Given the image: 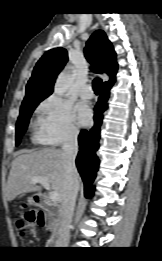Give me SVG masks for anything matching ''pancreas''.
I'll return each mask as SVG.
<instances>
[{"instance_id":"1","label":"pancreas","mask_w":162,"mask_h":261,"mask_svg":"<svg viewBox=\"0 0 162 261\" xmlns=\"http://www.w3.org/2000/svg\"><path fill=\"white\" fill-rule=\"evenodd\" d=\"M52 236H53V237H54V236H57V232L53 233Z\"/></svg>"}]
</instances>
